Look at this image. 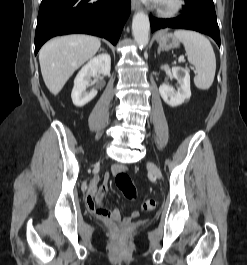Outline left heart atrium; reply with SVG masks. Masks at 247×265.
<instances>
[{
	"label": "left heart atrium",
	"mask_w": 247,
	"mask_h": 265,
	"mask_svg": "<svg viewBox=\"0 0 247 265\" xmlns=\"http://www.w3.org/2000/svg\"><path fill=\"white\" fill-rule=\"evenodd\" d=\"M150 1H160V0H150Z\"/></svg>",
	"instance_id": "39dd6f15"
}]
</instances>
